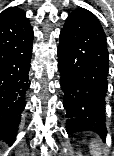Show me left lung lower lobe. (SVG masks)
<instances>
[{"mask_svg":"<svg viewBox=\"0 0 114 156\" xmlns=\"http://www.w3.org/2000/svg\"><path fill=\"white\" fill-rule=\"evenodd\" d=\"M58 60L67 133L91 130L105 140L108 50L93 13L81 8L68 16L60 33Z\"/></svg>","mask_w":114,"mask_h":156,"instance_id":"1","label":"left lung lower lobe"}]
</instances>
